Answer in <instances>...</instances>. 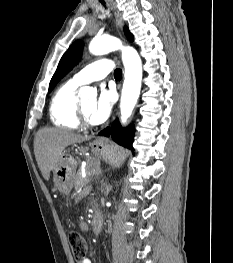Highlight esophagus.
I'll list each match as a JSON object with an SVG mask.
<instances>
[{
    "label": "esophagus",
    "instance_id": "esophagus-1",
    "mask_svg": "<svg viewBox=\"0 0 233 263\" xmlns=\"http://www.w3.org/2000/svg\"><path fill=\"white\" fill-rule=\"evenodd\" d=\"M111 6H112V9H113L115 17H116L117 25L120 29H122L123 19H122V16H121L119 9L117 8V6H116L115 2H113V0H111ZM97 143L100 145H104L107 143V140L105 138H100L97 140Z\"/></svg>",
    "mask_w": 233,
    "mask_h": 263
}]
</instances>
